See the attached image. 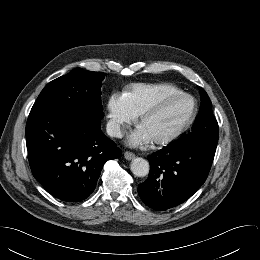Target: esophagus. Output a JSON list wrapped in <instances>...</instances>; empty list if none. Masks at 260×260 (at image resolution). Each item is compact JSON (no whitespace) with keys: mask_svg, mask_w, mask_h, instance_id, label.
<instances>
[{"mask_svg":"<svg viewBox=\"0 0 260 260\" xmlns=\"http://www.w3.org/2000/svg\"><path fill=\"white\" fill-rule=\"evenodd\" d=\"M134 157H135V154L132 153V152L126 151V152L124 153V158H125L126 160H132Z\"/></svg>","mask_w":260,"mask_h":260,"instance_id":"esophagus-1","label":"esophagus"}]
</instances>
